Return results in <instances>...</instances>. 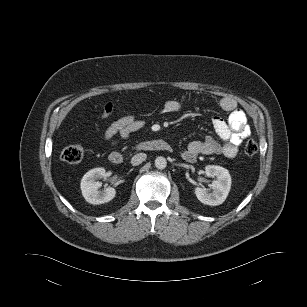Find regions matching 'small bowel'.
<instances>
[{
    "mask_svg": "<svg viewBox=\"0 0 307 307\" xmlns=\"http://www.w3.org/2000/svg\"><path fill=\"white\" fill-rule=\"evenodd\" d=\"M218 107L228 112L227 119L221 116H214L212 124L217 138L207 137L202 141H192L183 151L185 160L192 162L199 155L221 154L227 158H233L238 152V147L242 141L251 134L247 124L246 115L238 107V103L231 97H222L216 101ZM183 108L182 102L172 99L164 103L162 112L171 114ZM114 111L113 103H107L104 111L95 125L97 133H102L103 139L111 146H116L119 142L116 139L127 140L134 132L144 128L145 121L137 119L134 115L123 116L112 122L105 130L101 131L100 122L106 120Z\"/></svg>",
    "mask_w": 307,
    "mask_h": 307,
    "instance_id": "small-bowel-1",
    "label": "small bowel"
}]
</instances>
